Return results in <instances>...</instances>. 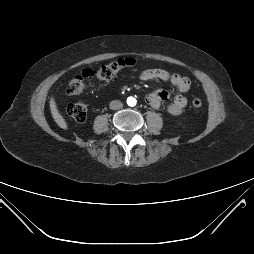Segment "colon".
Instances as JSON below:
<instances>
[{"mask_svg":"<svg viewBox=\"0 0 254 254\" xmlns=\"http://www.w3.org/2000/svg\"><path fill=\"white\" fill-rule=\"evenodd\" d=\"M136 61L133 59H121L107 65L101 66L96 71L85 69L79 75L75 76L67 85L66 91L69 95H78L83 92L86 82L92 79L99 81L111 80L121 69L133 68ZM203 105L199 98L192 100V106L195 109ZM67 114L77 122H83L88 113V105L85 102L70 103L66 108Z\"/></svg>","mask_w":254,"mask_h":254,"instance_id":"5ec220e1","label":"colon"}]
</instances>
